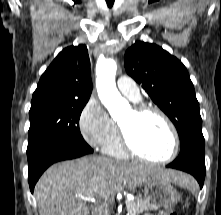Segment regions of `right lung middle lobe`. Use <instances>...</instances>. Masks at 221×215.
I'll use <instances>...</instances> for the list:
<instances>
[{
  "label": "right lung middle lobe",
  "mask_w": 221,
  "mask_h": 215,
  "mask_svg": "<svg viewBox=\"0 0 221 215\" xmlns=\"http://www.w3.org/2000/svg\"><path fill=\"white\" fill-rule=\"evenodd\" d=\"M87 101H47L31 105L27 152L53 140L84 142L79 129Z\"/></svg>",
  "instance_id": "dd1d6c3e"
}]
</instances>
